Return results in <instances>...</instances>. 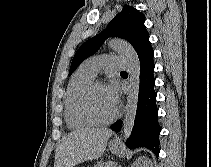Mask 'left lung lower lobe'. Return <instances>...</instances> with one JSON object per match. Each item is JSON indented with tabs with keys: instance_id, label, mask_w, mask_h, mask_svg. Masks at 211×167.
Listing matches in <instances>:
<instances>
[{
	"instance_id": "1",
	"label": "left lung lower lobe",
	"mask_w": 211,
	"mask_h": 167,
	"mask_svg": "<svg viewBox=\"0 0 211 167\" xmlns=\"http://www.w3.org/2000/svg\"><path fill=\"white\" fill-rule=\"evenodd\" d=\"M154 51L140 60V82L136 117L134 126L126 145L131 148L146 147L157 157L159 154V134L161 131L158 123V109L156 106V92L154 90L155 78L153 75L155 64ZM122 121L118 120L111 128L119 132Z\"/></svg>"
}]
</instances>
